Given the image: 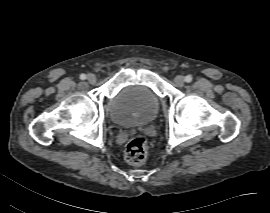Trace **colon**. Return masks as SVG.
Instances as JSON below:
<instances>
[{
  "label": "colon",
  "instance_id": "5ec220e1",
  "mask_svg": "<svg viewBox=\"0 0 270 213\" xmlns=\"http://www.w3.org/2000/svg\"><path fill=\"white\" fill-rule=\"evenodd\" d=\"M148 139L142 135L132 137L126 144L124 159L128 164L140 165L147 156Z\"/></svg>",
  "mask_w": 270,
  "mask_h": 213
}]
</instances>
